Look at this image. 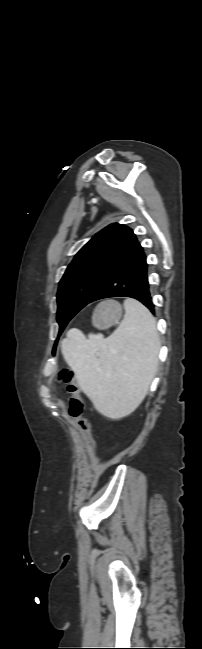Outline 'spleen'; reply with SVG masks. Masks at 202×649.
Here are the masks:
<instances>
[{
	"label": "spleen",
	"instance_id": "3e777b00",
	"mask_svg": "<svg viewBox=\"0 0 202 649\" xmlns=\"http://www.w3.org/2000/svg\"><path fill=\"white\" fill-rule=\"evenodd\" d=\"M124 309V319L108 338L101 334L86 338L73 329L61 342L80 388L96 410L112 419L129 415L143 401L160 347L150 311L135 299H126Z\"/></svg>",
	"mask_w": 202,
	"mask_h": 649
}]
</instances>
